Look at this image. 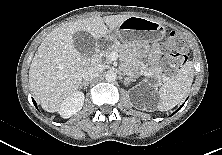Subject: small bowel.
Segmentation results:
<instances>
[{
	"label": "small bowel",
	"instance_id": "small-bowel-1",
	"mask_svg": "<svg viewBox=\"0 0 222 155\" xmlns=\"http://www.w3.org/2000/svg\"><path fill=\"white\" fill-rule=\"evenodd\" d=\"M159 52H160L159 47L157 45H154L151 50L152 59H156L157 56L159 55Z\"/></svg>",
	"mask_w": 222,
	"mask_h": 155
}]
</instances>
